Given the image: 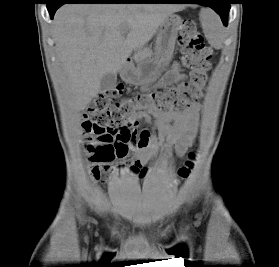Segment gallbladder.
Listing matches in <instances>:
<instances>
[{
	"label": "gallbladder",
	"mask_w": 279,
	"mask_h": 267,
	"mask_svg": "<svg viewBox=\"0 0 279 267\" xmlns=\"http://www.w3.org/2000/svg\"><path fill=\"white\" fill-rule=\"evenodd\" d=\"M116 82H117L116 74L112 72L106 73L101 78L100 91L105 92L114 89V87L116 86Z\"/></svg>",
	"instance_id": "1"
}]
</instances>
